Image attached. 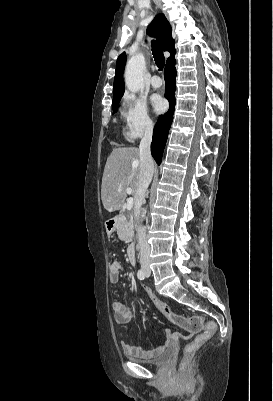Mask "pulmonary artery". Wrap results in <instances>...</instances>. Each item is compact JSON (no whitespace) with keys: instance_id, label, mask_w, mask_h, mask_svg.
Segmentation results:
<instances>
[{"instance_id":"obj_1","label":"pulmonary artery","mask_w":273,"mask_h":401,"mask_svg":"<svg viewBox=\"0 0 273 401\" xmlns=\"http://www.w3.org/2000/svg\"><path fill=\"white\" fill-rule=\"evenodd\" d=\"M160 76L158 74H153L151 76V81L149 83V86L151 89H158L160 86Z\"/></svg>"}]
</instances>
